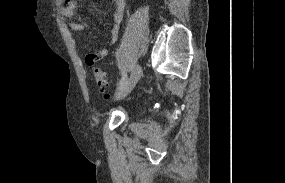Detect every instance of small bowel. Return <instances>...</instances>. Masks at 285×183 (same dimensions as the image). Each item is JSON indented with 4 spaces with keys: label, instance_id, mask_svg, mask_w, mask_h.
Listing matches in <instances>:
<instances>
[{
    "label": "small bowel",
    "instance_id": "obj_1",
    "mask_svg": "<svg viewBox=\"0 0 285 183\" xmlns=\"http://www.w3.org/2000/svg\"><path fill=\"white\" fill-rule=\"evenodd\" d=\"M114 3V9L112 12V24L110 29V41L109 45L107 47H103L95 52L88 53L85 56V61L87 65L94 66L97 62H99L101 59L105 58L110 51V47L114 45L118 39L120 26L122 23L125 7H126V1L125 0H113ZM64 16L72 20L75 16V6L73 4H68L64 10H63ZM69 27L75 31L80 32L83 30L84 26L80 22L76 21H70Z\"/></svg>",
    "mask_w": 285,
    "mask_h": 183
}]
</instances>
